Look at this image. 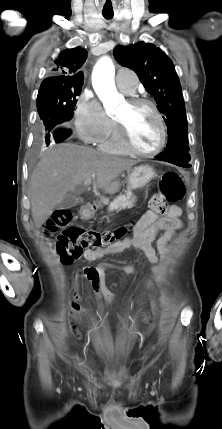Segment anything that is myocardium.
<instances>
[{"label":"myocardium","instance_id":"myocardium-1","mask_svg":"<svg viewBox=\"0 0 222 429\" xmlns=\"http://www.w3.org/2000/svg\"><path fill=\"white\" fill-rule=\"evenodd\" d=\"M127 103L132 107L146 106L152 111L159 125L160 142L158 146L152 151H141L131 141L126 124L120 120H116L119 137L123 146L128 152L139 157L150 158L157 156L162 152L167 142V128L160 111L151 100L142 97H132L127 101Z\"/></svg>","mask_w":222,"mask_h":429}]
</instances>
